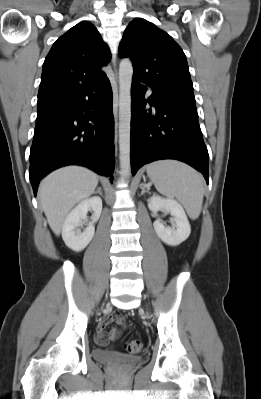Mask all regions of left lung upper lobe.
Segmentation results:
<instances>
[{"label":"left lung upper lobe","mask_w":261,"mask_h":399,"mask_svg":"<svg viewBox=\"0 0 261 399\" xmlns=\"http://www.w3.org/2000/svg\"><path fill=\"white\" fill-rule=\"evenodd\" d=\"M119 55L132 60L133 79L153 91L194 97L183 50L154 24L141 18L132 20L123 34Z\"/></svg>","instance_id":"1"}]
</instances>
